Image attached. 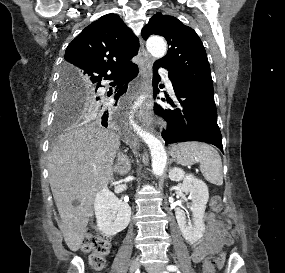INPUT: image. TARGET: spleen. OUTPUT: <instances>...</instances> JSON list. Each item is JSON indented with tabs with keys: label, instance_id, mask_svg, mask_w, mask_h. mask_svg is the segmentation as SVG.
<instances>
[{
	"label": "spleen",
	"instance_id": "spleen-1",
	"mask_svg": "<svg viewBox=\"0 0 285 273\" xmlns=\"http://www.w3.org/2000/svg\"><path fill=\"white\" fill-rule=\"evenodd\" d=\"M172 154L182 165L199 162L201 173L208 182L218 186L223 184L221 157L212 146L199 142H183L172 148Z\"/></svg>",
	"mask_w": 285,
	"mask_h": 273
}]
</instances>
